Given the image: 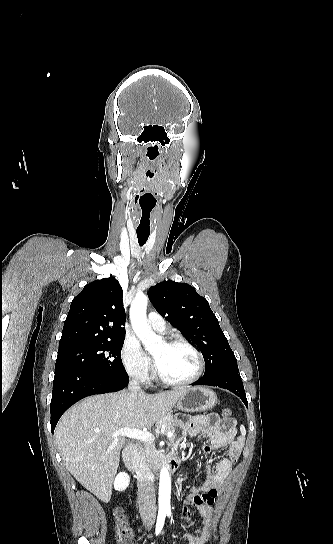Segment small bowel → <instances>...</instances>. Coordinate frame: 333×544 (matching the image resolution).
I'll return each instance as SVG.
<instances>
[{
    "label": "small bowel",
    "mask_w": 333,
    "mask_h": 544,
    "mask_svg": "<svg viewBox=\"0 0 333 544\" xmlns=\"http://www.w3.org/2000/svg\"><path fill=\"white\" fill-rule=\"evenodd\" d=\"M182 435L175 441L179 447L183 437L203 434L209 437L210 443L204 447L205 453L214 452L224 447L229 448L228 457L219 460L214 468L208 466L209 474L200 488L192 487L182 506V515L185 521L192 520V507L198 509L203 516L202 525L193 534H185L187 544H205L211 526V505L218 491L228 478L233 464L240 457L243 448V437L237 435L233 421L222 422L217 415H199L181 422Z\"/></svg>",
    "instance_id": "small-bowel-1"
}]
</instances>
